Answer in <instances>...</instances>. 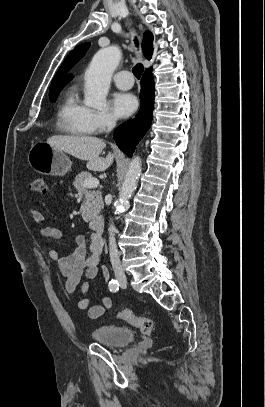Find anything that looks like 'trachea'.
Returning <instances> with one entry per match:
<instances>
[{"mask_svg": "<svg viewBox=\"0 0 265 407\" xmlns=\"http://www.w3.org/2000/svg\"><path fill=\"white\" fill-rule=\"evenodd\" d=\"M135 43L138 44L137 39H135ZM142 72H143V65L140 63L136 64L135 67L133 68V74L135 75V77L137 79H140Z\"/></svg>", "mask_w": 265, "mask_h": 407, "instance_id": "trachea-1", "label": "trachea"}]
</instances>
